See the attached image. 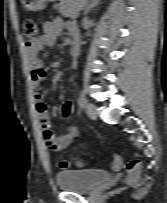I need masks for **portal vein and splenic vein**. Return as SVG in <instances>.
Here are the masks:
<instances>
[{
    "label": "portal vein and splenic vein",
    "mask_w": 167,
    "mask_h": 203,
    "mask_svg": "<svg viewBox=\"0 0 167 203\" xmlns=\"http://www.w3.org/2000/svg\"><path fill=\"white\" fill-rule=\"evenodd\" d=\"M82 9V7H80L77 11H76V13L75 14H73V16L72 17H77L78 15H79V11Z\"/></svg>",
    "instance_id": "portal-vein-and-splenic-vein-1"
}]
</instances>
